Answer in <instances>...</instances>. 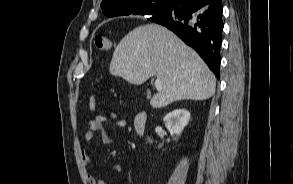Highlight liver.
<instances>
[{
    "label": "liver",
    "instance_id": "obj_1",
    "mask_svg": "<svg viewBox=\"0 0 293 184\" xmlns=\"http://www.w3.org/2000/svg\"><path fill=\"white\" fill-rule=\"evenodd\" d=\"M109 71L135 85L156 76L161 89L150 101L154 108L184 99L206 100L216 88L215 76L200 56L173 32L154 23L136 27L119 42Z\"/></svg>",
    "mask_w": 293,
    "mask_h": 184
}]
</instances>
